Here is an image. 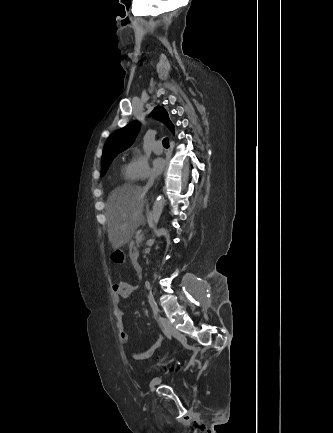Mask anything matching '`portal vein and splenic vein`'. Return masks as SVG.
Wrapping results in <instances>:
<instances>
[{
	"label": "portal vein and splenic vein",
	"mask_w": 333,
	"mask_h": 433,
	"mask_svg": "<svg viewBox=\"0 0 333 433\" xmlns=\"http://www.w3.org/2000/svg\"><path fill=\"white\" fill-rule=\"evenodd\" d=\"M136 241H137V242H141V241H142V236H138V237L136 238Z\"/></svg>",
	"instance_id": "1"
}]
</instances>
